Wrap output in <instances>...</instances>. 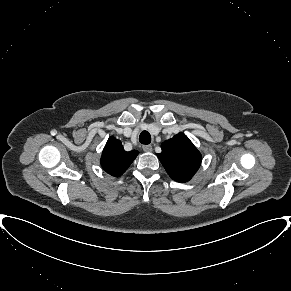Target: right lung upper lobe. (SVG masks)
Returning a JSON list of instances; mask_svg holds the SVG:
<instances>
[{
    "mask_svg": "<svg viewBox=\"0 0 291 291\" xmlns=\"http://www.w3.org/2000/svg\"><path fill=\"white\" fill-rule=\"evenodd\" d=\"M137 154L136 150L126 152L119 140L110 137L102 152L101 166L108 174L118 177L128 169Z\"/></svg>",
    "mask_w": 291,
    "mask_h": 291,
    "instance_id": "1",
    "label": "right lung upper lobe"
}]
</instances>
